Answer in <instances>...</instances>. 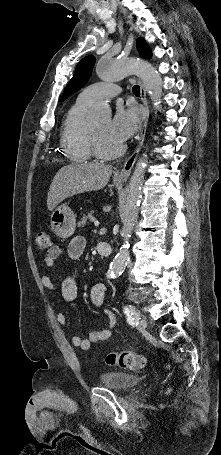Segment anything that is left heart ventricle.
Returning a JSON list of instances; mask_svg holds the SVG:
<instances>
[{
	"label": "left heart ventricle",
	"mask_w": 221,
	"mask_h": 455,
	"mask_svg": "<svg viewBox=\"0 0 221 455\" xmlns=\"http://www.w3.org/2000/svg\"><path fill=\"white\" fill-rule=\"evenodd\" d=\"M110 122V118L107 117L93 124V127L97 131L100 144L105 150H111L121 143V141L111 134Z\"/></svg>",
	"instance_id": "b2bd125f"
}]
</instances>
